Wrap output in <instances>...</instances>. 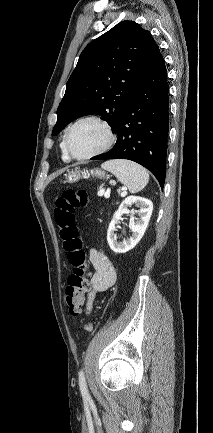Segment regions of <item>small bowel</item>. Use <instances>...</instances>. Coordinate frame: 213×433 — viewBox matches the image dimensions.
Here are the masks:
<instances>
[{
	"mask_svg": "<svg viewBox=\"0 0 213 433\" xmlns=\"http://www.w3.org/2000/svg\"><path fill=\"white\" fill-rule=\"evenodd\" d=\"M89 260L92 272L90 274V288L87 293V313L92 311L97 293L109 289L117 279L113 263L103 252L91 248L89 250Z\"/></svg>",
	"mask_w": 213,
	"mask_h": 433,
	"instance_id": "1",
	"label": "small bowel"
}]
</instances>
